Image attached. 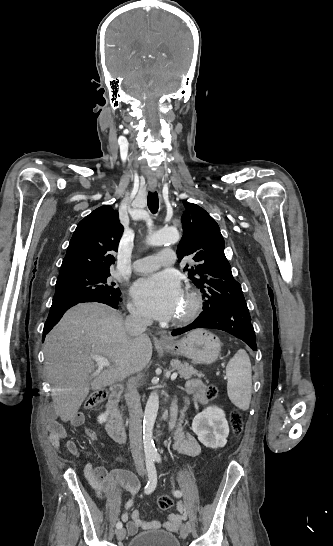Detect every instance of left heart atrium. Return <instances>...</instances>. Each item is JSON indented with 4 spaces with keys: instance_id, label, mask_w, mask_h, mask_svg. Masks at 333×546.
<instances>
[{
    "instance_id": "39dd6f15",
    "label": "left heart atrium",
    "mask_w": 333,
    "mask_h": 546,
    "mask_svg": "<svg viewBox=\"0 0 333 546\" xmlns=\"http://www.w3.org/2000/svg\"><path fill=\"white\" fill-rule=\"evenodd\" d=\"M132 293L143 311L159 320L175 317L183 298L178 276L170 271L138 280Z\"/></svg>"
}]
</instances>
